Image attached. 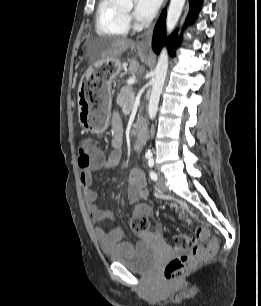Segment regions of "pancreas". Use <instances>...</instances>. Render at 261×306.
Instances as JSON below:
<instances>
[{"label": "pancreas", "instance_id": "1", "mask_svg": "<svg viewBox=\"0 0 261 306\" xmlns=\"http://www.w3.org/2000/svg\"><path fill=\"white\" fill-rule=\"evenodd\" d=\"M133 96H134L133 88L131 86H124L121 88L118 94L117 104L122 109L130 108L134 101Z\"/></svg>", "mask_w": 261, "mask_h": 306}]
</instances>
